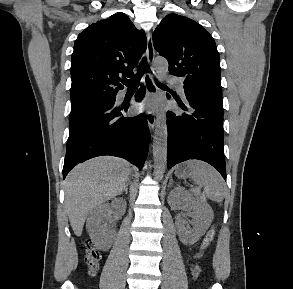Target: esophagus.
Returning <instances> with one entry per match:
<instances>
[{"mask_svg": "<svg viewBox=\"0 0 293 289\" xmlns=\"http://www.w3.org/2000/svg\"><path fill=\"white\" fill-rule=\"evenodd\" d=\"M154 58H155V49L153 46V41H152V35L150 33L147 34V61L150 66V71H148L145 76H144V84L146 87V92L148 98L155 97L158 93V88L154 82V75H155V70L153 67L154 63ZM147 117V122L148 126L151 132L154 131L155 124H156V114L155 110H148L146 113Z\"/></svg>", "mask_w": 293, "mask_h": 289, "instance_id": "obj_1", "label": "esophagus"}]
</instances>
